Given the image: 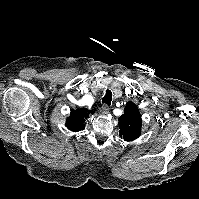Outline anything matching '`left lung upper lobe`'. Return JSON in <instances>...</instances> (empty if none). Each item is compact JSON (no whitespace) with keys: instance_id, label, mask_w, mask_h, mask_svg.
Here are the masks:
<instances>
[{"instance_id":"1","label":"left lung upper lobe","mask_w":199,"mask_h":199,"mask_svg":"<svg viewBox=\"0 0 199 199\" xmlns=\"http://www.w3.org/2000/svg\"><path fill=\"white\" fill-rule=\"evenodd\" d=\"M141 115L137 106L128 102L124 114L119 118L120 136L125 141H133L141 134Z\"/></svg>"}]
</instances>
